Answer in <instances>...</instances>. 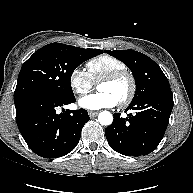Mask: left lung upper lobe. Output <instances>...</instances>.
I'll return each mask as SVG.
<instances>
[{
  "label": "left lung upper lobe",
  "mask_w": 193,
  "mask_h": 193,
  "mask_svg": "<svg viewBox=\"0 0 193 193\" xmlns=\"http://www.w3.org/2000/svg\"><path fill=\"white\" fill-rule=\"evenodd\" d=\"M106 53L119 59L129 67L135 78L136 92L132 102L168 82L161 68L151 58L134 50H107Z\"/></svg>",
  "instance_id": "obj_1"
}]
</instances>
